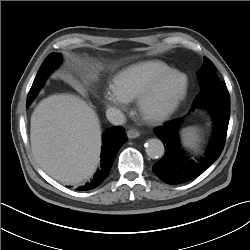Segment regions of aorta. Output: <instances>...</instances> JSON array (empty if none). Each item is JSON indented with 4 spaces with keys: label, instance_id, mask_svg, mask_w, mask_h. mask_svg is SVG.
<instances>
[{
    "label": "aorta",
    "instance_id": "aorta-1",
    "mask_svg": "<svg viewBox=\"0 0 250 250\" xmlns=\"http://www.w3.org/2000/svg\"><path fill=\"white\" fill-rule=\"evenodd\" d=\"M145 151L150 158L159 159L164 155L165 149L161 140L152 138L147 141Z\"/></svg>",
    "mask_w": 250,
    "mask_h": 250
}]
</instances>
